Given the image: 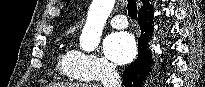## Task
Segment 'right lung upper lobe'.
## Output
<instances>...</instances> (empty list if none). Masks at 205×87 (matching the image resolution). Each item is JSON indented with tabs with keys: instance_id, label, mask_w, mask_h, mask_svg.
<instances>
[{
	"instance_id": "cb5924a9",
	"label": "right lung upper lobe",
	"mask_w": 205,
	"mask_h": 87,
	"mask_svg": "<svg viewBox=\"0 0 205 87\" xmlns=\"http://www.w3.org/2000/svg\"><path fill=\"white\" fill-rule=\"evenodd\" d=\"M69 2H70V0H68L67 5H68ZM147 4H149V3H148V0H143V6H145V5H147Z\"/></svg>"
}]
</instances>
